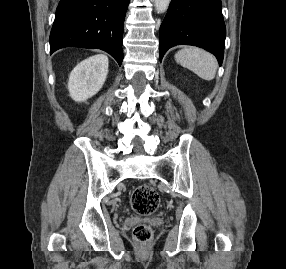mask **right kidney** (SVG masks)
I'll return each instance as SVG.
<instances>
[{"label":"right kidney","mask_w":286,"mask_h":269,"mask_svg":"<svg viewBox=\"0 0 286 269\" xmlns=\"http://www.w3.org/2000/svg\"><path fill=\"white\" fill-rule=\"evenodd\" d=\"M108 73V58L94 55L80 62L70 73L68 90L76 102L86 101L103 86Z\"/></svg>","instance_id":"1"}]
</instances>
